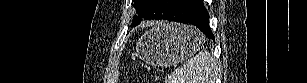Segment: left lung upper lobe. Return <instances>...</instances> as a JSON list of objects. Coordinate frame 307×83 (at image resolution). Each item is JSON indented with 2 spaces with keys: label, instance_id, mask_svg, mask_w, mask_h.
<instances>
[{
  "label": "left lung upper lobe",
  "instance_id": "left-lung-upper-lobe-1",
  "mask_svg": "<svg viewBox=\"0 0 307 83\" xmlns=\"http://www.w3.org/2000/svg\"><path fill=\"white\" fill-rule=\"evenodd\" d=\"M175 0H134L140 17L147 19H163ZM141 19L134 17L132 26L140 23Z\"/></svg>",
  "mask_w": 307,
  "mask_h": 83
}]
</instances>
